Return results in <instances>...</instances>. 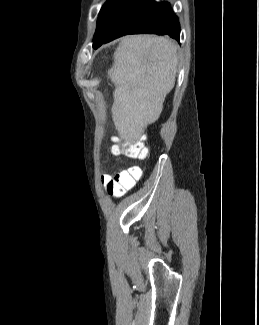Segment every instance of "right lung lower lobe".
Here are the masks:
<instances>
[{"label": "right lung lower lobe", "instance_id": "98d812e1", "mask_svg": "<svg viewBox=\"0 0 259 325\" xmlns=\"http://www.w3.org/2000/svg\"><path fill=\"white\" fill-rule=\"evenodd\" d=\"M154 33L169 35L179 41L180 24L169 2L134 0L102 44L127 34Z\"/></svg>", "mask_w": 259, "mask_h": 325}]
</instances>
